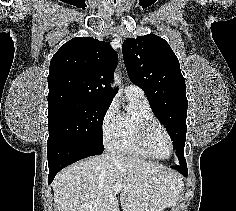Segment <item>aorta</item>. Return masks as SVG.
I'll use <instances>...</instances> for the list:
<instances>
[{
  "mask_svg": "<svg viewBox=\"0 0 236 211\" xmlns=\"http://www.w3.org/2000/svg\"><path fill=\"white\" fill-rule=\"evenodd\" d=\"M120 84V77L117 71L114 73V82L112 84L113 87H118Z\"/></svg>",
  "mask_w": 236,
  "mask_h": 211,
  "instance_id": "762f6f07",
  "label": "aorta"
}]
</instances>
